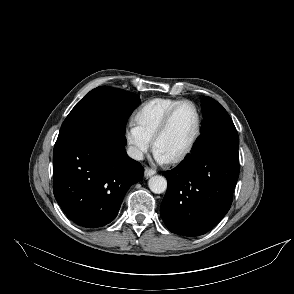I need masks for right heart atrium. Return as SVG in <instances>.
Listing matches in <instances>:
<instances>
[{
  "label": "right heart atrium",
  "mask_w": 294,
  "mask_h": 294,
  "mask_svg": "<svg viewBox=\"0 0 294 294\" xmlns=\"http://www.w3.org/2000/svg\"><path fill=\"white\" fill-rule=\"evenodd\" d=\"M124 138L132 158L140 160L149 151L152 140L148 138L134 122H129L124 129Z\"/></svg>",
  "instance_id": "d8ad5b80"
}]
</instances>
